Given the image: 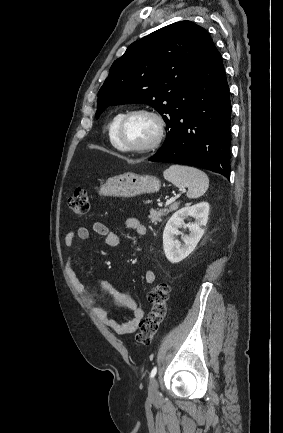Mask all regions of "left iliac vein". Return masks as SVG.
Instances as JSON below:
<instances>
[{
  "instance_id": "4c4485c4",
  "label": "left iliac vein",
  "mask_w": 283,
  "mask_h": 433,
  "mask_svg": "<svg viewBox=\"0 0 283 433\" xmlns=\"http://www.w3.org/2000/svg\"><path fill=\"white\" fill-rule=\"evenodd\" d=\"M148 398L154 404H159L160 394L156 378H152L148 385Z\"/></svg>"
}]
</instances>
